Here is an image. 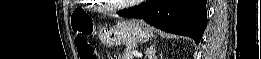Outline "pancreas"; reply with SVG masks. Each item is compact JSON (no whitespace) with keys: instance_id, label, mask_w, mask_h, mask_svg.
I'll return each instance as SVG.
<instances>
[{"instance_id":"1","label":"pancreas","mask_w":261,"mask_h":59,"mask_svg":"<svg viewBox=\"0 0 261 59\" xmlns=\"http://www.w3.org/2000/svg\"><path fill=\"white\" fill-rule=\"evenodd\" d=\"M135 49V46L129 45L126 47L124 53H123V59H134L133 51Z\"/></svg>"}]
</instances>
